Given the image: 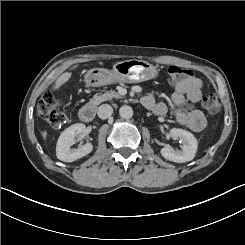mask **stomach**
<instances>
[{"instance_id":"0dacf381","label":"stomach","mask_w":245,"mask_h":245,"mask_svg":"<svg viewBox=\"0 0 245 245\" xmlns=\"http://www.w3.org/2000/svg\"><path fill=\"white\" fill-rule=\"evenodd\" d=\"M156 66L142 60L118 62L112 70L93 68L85 74V82L89 86H103L116 82L139 83L158 76Z\"/></svg>"}]
</instances>
